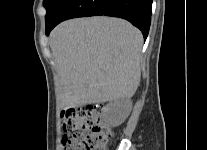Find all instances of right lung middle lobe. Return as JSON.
I'll list each match as a JSON object with an SVG mask.
<instances>
[{
	"instance_id": "obj_1",
	"label": "right lung middle lobe",
	"mask_w": 207,
	"mask_h": 150,
	"mask_svg": "<svg viewBox=\"0 0 207 150\" xmlns=\"http://www.w3.org/2000/svg\"><path fill=\"white\" fill-rule=\"evenodd\" d=\"M65 0H43V5L47 11L45 16V22H49L57 13L60 6Z\"/></svg>"
}]
</instances>
